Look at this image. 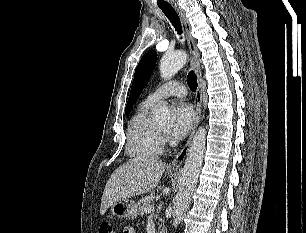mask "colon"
<instances>
[{"label":"colon","instance_id":"colon-1","mask_svg":"<svg viewBox=\"0 0 306 233\" xmlns=\"http://www.w3.org/2000/svg\"><path fill=\"white\" fill-rule=\"evenodd\" d=\"M99 233H116V232H115V229H114L112 224H110V223H103L100 226ZM126 233H133V230H127Z\"/></svg>","mask_w":306,"mask_h":233}]
</instances>
